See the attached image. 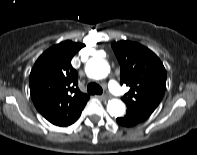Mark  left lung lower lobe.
<instances>
[{
  "mask_svg": "<svg viewBox=\"0 0 197 155\" xmlns=\"http://www.w3.org/2000/svg\"><path fill=\"white\" fill-rule=\"evenodd\" d=\"M117 122L122 126L129 127V126H134V125L142 122V120H140L139 118H137L133 115L126 113V115L124 117L117 118Z\"/></svg>",
  "mask_w": 197,
  "mask_h": 155,
  "instance_id": "0a47b994",
  "label": "left lung lower lobe"
}]
</instances>
